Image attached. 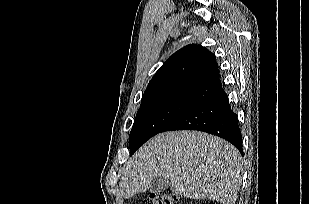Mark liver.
<instances>
[{
  "label": "liver",
  "instance_id": "6515ba94",
  "mask_svg": "<svg viewBox=\"0 0 309 204\" xmlns=\"http://www.w3.org/2000/svg\"><path fill=\"white\" fill-rule=\"evenodd\" d=\"M242 173V157L227 141L199 131H175L145 143L128 161L119 187L130 198L163 176L175 194L235 204Z\"/></svg>",
  "mask_w": 309,
  "mask_h": 204
}]
</instances>
